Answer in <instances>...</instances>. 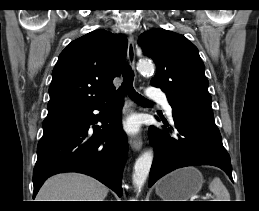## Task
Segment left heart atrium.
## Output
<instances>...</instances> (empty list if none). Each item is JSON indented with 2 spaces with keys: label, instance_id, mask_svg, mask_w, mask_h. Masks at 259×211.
Wrapping results in <instances>:
<instances>
[{
  "label": "left heart atrium",
  "instance_id": "left-heart-atrium-1",
  "mask_svg": "<svg viewBox=\"0 0 259 211\" xmlns=\"http://www.w3.org/2000/svg\"><path fill=\"white\" fill-rule=\"evenodd\" d=\"M125 128L129 132L137 131V129H138V122H137V120H135L133 118L127 120L126 123H125Z\"/></svg>",
  "mask_w": 259,
  "mask_h": 211
}]
</instances>
